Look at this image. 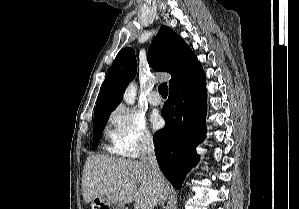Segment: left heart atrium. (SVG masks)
<instances>
[{
  "label": "left heart atrium",
  "instance_id": "1",
  "mask_svg": "<svg viewBox=\"0 0 299 209\" xmlns=\"http://www.w3.org/2000/svg\"><path fill=\"white\" fill-rule=\"evenodd\" d=\"M151 125L154 130H158L163 126V119L159 114L151 116Z\"/></svg>",
  "mask_w": 299,
  "mask_h": 209
}]
</instances>
